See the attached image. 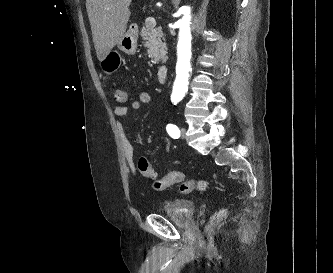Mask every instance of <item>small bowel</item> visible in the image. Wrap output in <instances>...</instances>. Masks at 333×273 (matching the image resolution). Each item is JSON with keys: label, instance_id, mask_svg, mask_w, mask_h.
I'll list each match as a JSON object with an SVG mask.
<instances>
[{"label": "small bowel", "instance_id": "obj_1", "mask_svg": "<svg viewBox=\"0 0 333 273\" xmlns=\"http://www.w3.org/2000/svg\"><path fill=\"white\" fill-rule=\"evenodd\" d=\"M152 100V95L149 91H142L138 94V98L133 100L130 103V108L134 111H138L142 108L143 105L149 104ZM129 108L124 105H118L114 108V114L117 118H124L127 116ZM119 132L121 135L122 147L125 155V159L132 170V172L137 175L140 173L138 168V161L136 160L135 156V148L128 137L125 129L123 126L118 123Z\"/></svg>", "mask_w": 333, "mask_h": 273}]
</instances>
